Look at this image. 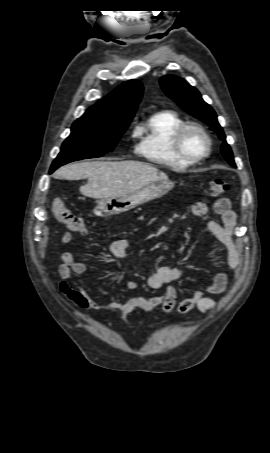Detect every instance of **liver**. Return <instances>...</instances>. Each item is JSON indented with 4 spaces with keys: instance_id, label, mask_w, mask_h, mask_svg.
I'll use <instances>...</instances> for the list:
<instances>
[{
    "instance_id": "liver-1",
    "label": "liver",
    "mask_w": 270,
    "mask_h": 453,
    "mask_svg": "<svg viewBox=\"0 0 270 453\" xmlns=\"http://www.w3.org/2000/svg\"><path fill=\"white\" fill-rule=\"evenodd\" d=\"M53 176L67 180L88 178L80 192L94 199L126 196L156 181L168 180L157 168L132 160L68 164L56 170Z\"/></svg>"
}]
</instances>
